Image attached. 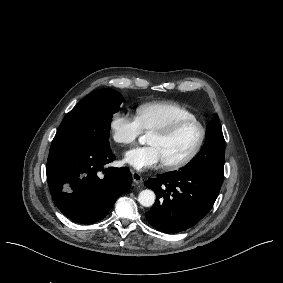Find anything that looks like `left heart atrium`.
Masks as SVG:
<instances>
[{"label": "left heart atrium", "instance_id": "1", "mask_svg": "<svg viewBox=\"0 0 283 283\" xmlns=\"http://www.w3.org/2000/svg\"><path fill=\"white\" fill-rule=\"evenodd\" d=\"M125 161L140 171L157 169L165 164L163 154L157 146L130 149L125 153Z\"/></svg>", "mask_w": 283, "mask_h": 283}]
</instances>
